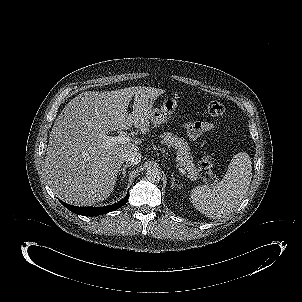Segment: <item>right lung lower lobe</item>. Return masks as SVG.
<instances>
[{"label": "right lung lower lobe", "mask_w": 302, "mask_h": 302, "mask_svg": "<svg viewBox=\"0 0 302 302\" xmlns=\"http://www.w3.org/2000/svg\"><path fill=\"white\" fill-rule=\"evenodd\" d=\"M128 199H129V191L123 200H121L120 202H118L116 204L105 206V207H76V206L66 204L61 200H60V202L67 209H69L70 211H72L76 214L83 215V216H97V215H102V214L108 213L110 211L119 209L128 201Z\"/></svg>", "instance_id": "right-lung-lower-lobe-1"}]
</instances>
